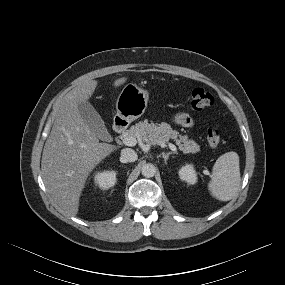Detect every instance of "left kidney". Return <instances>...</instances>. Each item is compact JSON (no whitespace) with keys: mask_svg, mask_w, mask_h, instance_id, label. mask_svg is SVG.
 <instances>
[{"mask_svg":"<svg viewBox=\"0 0 285 285\" xmlns=\"http://www.w3.org/2000/svg\"><path fill=\"white\" fill-rule=\"evenodd\" d=\"M178 175L181 180L187 182L188 184H195L197 182V174L193 165L191 164L182 166L178 171Z\"/></svg>","mask_w":285,"mask_h":285,"instance_id":"left-kidney-1","label":"left kidney"}]
</instances>
